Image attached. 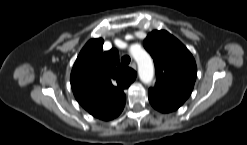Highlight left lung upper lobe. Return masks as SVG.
Listing matches in <instances>:
<instances>
[{
    "instance_id": "obj_1",
    "label": "left lung upper lobe",
    "mask_w": 247,
    "mask_h": 145,
    "mask_svg": "<svg viewBox=\"0 0 247 145\" xmlns=\"http://www.w3.org/2000/svg\"><path fill=\"white\" fill-rule=\"evenodd\" d=\"M153 57L156 89L187 99L194 87L197 67L189 50L165 30L153 31L143 42Z\"/></svg>"
}]
</instances>
